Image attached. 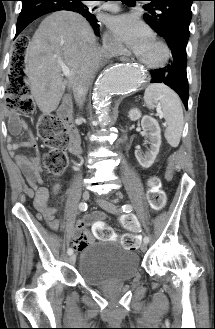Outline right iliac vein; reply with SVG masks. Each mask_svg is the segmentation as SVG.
<instances>
[{"mask_svg": "<svg viewBox=\"0 0 215 329\" xmlns=\"http://www.w3.org/2000/svg\"><path fill=\"white\" fill-rule=\"evenodd\" d=\"M82 197L84 200H88L90 198V193L88 191H84L82 193ZM69 262L70 264L74 265L76 262V255L75 254H71L69 257Z\"/></svg>", "mask_w": 215, "mask_h": 329, "instance_id": "right-iliac-vein-1", "label": "right iliac vein"}]
</instances>
